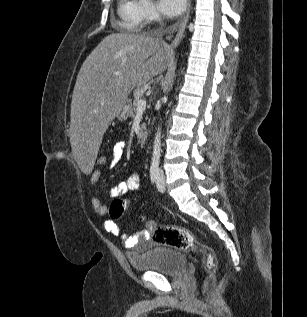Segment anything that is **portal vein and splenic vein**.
Wrapping results in <instances>:
<instances>
[{
	"label": "portal vein and splenic vein",
	"mask_w": 307,
	"mask_h": 317,
	"mask_svg": "<svg viewBox=\"0 0 307 317\" xmlns=\"http://www.w3.org/2000/svg\"><path fill=\"white\" fill-rule=\"evenodd\" d=\"M146 108V100L142 99L137 104V112H143Z\"/></svg>",
	"instance_id": "18ae733b"
}]
</instances>
